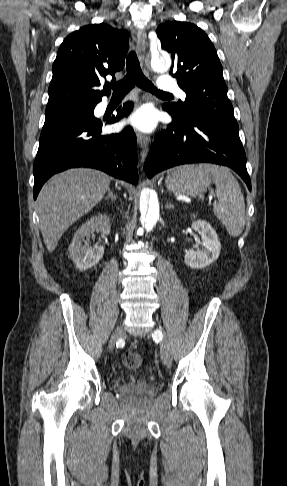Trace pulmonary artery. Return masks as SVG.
<instances>
[{
    "label": "pulmonary artery",
    "instance_id": "1",
    "mask_svg": "<svg viewBox=\"0 0 287 486\" xmlns=\"http://www.w3.org/2000/svg\"><path fill=\"white\" fill-rule=\"evenodd\" d=\"M158 87L163 92H175L181 97H185V93L179 88L175 79L169 76H161L159 79Z\"/></svg>",
    "mask_w": 287,
    "mask_h": 486
}]
</instances>
